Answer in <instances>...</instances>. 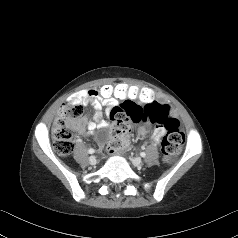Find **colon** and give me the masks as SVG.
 <instances>
[{"label":"colon","mask_w":238,"mask_h":238,"mask_svg":"<svg viewBox=\"0 0 238 238\" xmlns=\"http://www.w3.org/2000/svg\"><path fill=\"white\" fill-rule=\"evenodd\" d=\"M99 97L109 101L115 97L125 100L122 106L111 109L110 119L113 122L108 151L115 153L128 144L129 121H150L158 126L163 125L165 134L161 142L162 159L171 162L180 152L185 136L173 111L156 100L155 93L136 85L112 83L102 85L98 90ZM144 105V106H142ZM83 116V105L72 101L66 102L52 127L54 150L62 156L68 155L74 148V131L80 126Z\"/></svg>","instance_id":"obj_1"}]
</instances>
